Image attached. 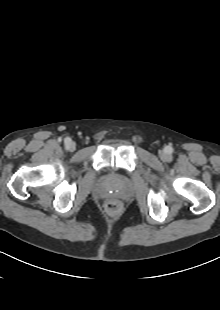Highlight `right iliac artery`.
<instances>
[{
	"instance_id": "obj_1",
	"label": "right iliac artery",
	"mask_w": 220,
	"mask_h": 310,
	"mask_svg": "<svg viewBox=\"0 0 220 310\" xmlns=\"http://www.w3.org/2000/svg\"><path fill=\"white\" fill-rule=\"evenodd\" d=\"M71 141L70 138H65V143L68 144Z\"/></svg>"
}]
</instances>
